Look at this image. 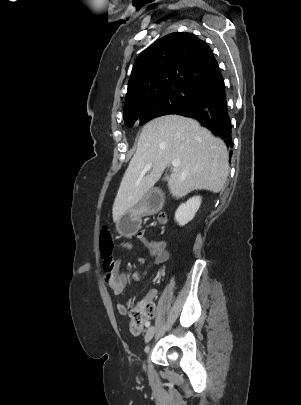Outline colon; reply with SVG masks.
<instances>
[{
    "instance_id": "5ec220e1",
    "label": "colon",
    "mask_w": 301,
    "mask_h": 405,
    "mask_svg": "<svg viewBox=\"0 0 301 405\" xmlns=\"http://www.w3.org/2000/svg\"><path fill=\"white\" fill-rule=\"evenodd\" d=\"M158 221L160 223H164L166 221V216L163 214L159 215ZM99 242L101 257L104 260V265L110 266L113 260V239L108 228L104 227L100 231ZM153 314L154 307L150 303H145L144 305L131 304L129 306V317L131 319L130 327L132 332H140L145 319L153 316Z\"/></svg>"
}]
</instances>
